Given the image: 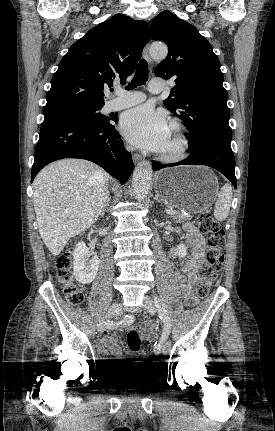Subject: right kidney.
I'll return each mask as SVG.
<instances>
[{
    "instance_id": "obj_1",
    "label": "right kidney",
    "mask_w": 275,
    "mask_h": 431,
    "mask_svg": "<svg viewBox=\"0 0 275 431\" xmlns=\"http://www.w3.org/2000/svg\"><path fill=\"white\" fill-rule=\"evenodd\" d=\"M92 256L91 260L89 257ZM73 274L76 280L82 284L91 283L99 268V258L93 255L83 241L79 242L73 251Z\"/></svg>"
}]
</instances>
